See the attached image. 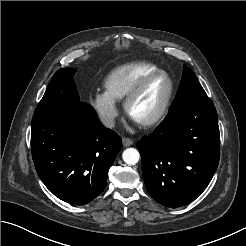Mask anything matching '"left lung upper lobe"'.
I'll use <instances>...</instances> for the list:
<instances>
[{"instance_id": "1", "label": "left lung upper lobe", "mask_w": 246, "mask_h": 246, "mask_svg": "<svg viewBox=\"0 0 246 246\" xmlns=\"http://www.w3.org/2000/svg\"><path fill=\"white\" fill-rule=\"evenodd\" d=\"M208 98L204 89L198 82L192 70L186 65L183 66V75L176 98L171 106L170 111L190 102Z\"/></svg>"}]
</instances>
